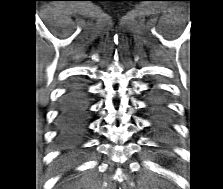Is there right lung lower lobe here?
<instances>
[{
	"label": "right lung lower lobe",
	"instance_id": "obj_1",
	"mask_svg": "<svg viewBox=\"0 0 223 189\" xmlns=\"http://www.w3.org/2000/svg\"><path fill=\"white\" fill-rule=\"evenodd\" d=\"M89 97L83 82L74 81L64 94L56 121L57 142L62 149L78 147L87 131Z\"/></svg>",
	"mask_w": 223,
	"mask_h": 189
}]
</instances>
